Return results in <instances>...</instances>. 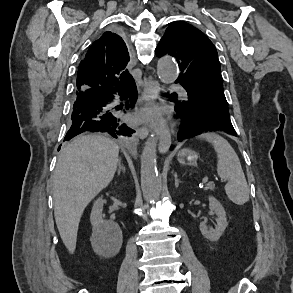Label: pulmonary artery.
Segmentation results:
<instances>
[{
  "mask_svg": "<svg viewBox=\"0 0 293 293\" xmlns=\"http://www.w3.org/2000/svg\"><path fill=\"white\" fill-rule=\"evenodd\" d=\"M172 87L176 89L182 96L187 95L186 91L181 86L173 85Z\"/></svg>",
  "mask_w": 293,
  "mask_h": 293,
  "instance_id": "e3ab8cb5",
  "label": "pulmonary artery"
}]
</instances>
